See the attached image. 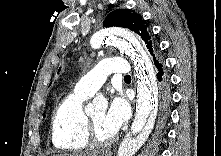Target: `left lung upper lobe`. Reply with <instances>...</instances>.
<instances>
[{
	"mask_svg": "<svg viewBox=\"0 0 221 156\" xmlns=\"http://www.w3.org/2000/svg\"><path fill=\"white\" fill-rule=\"evenodd\" d=\"M103 25L105 27L118 26L128 28L139 36L145 42L148 51L151 54L153 63L162 60L157 44L152 38L151 30L146 21L140 16L129 9H116L105 18Z\"/></svg>",
	"mask_w": 221,
	"mask_h": 156,
	"instance_id": "1",
	"label": "left lung upper lobe"
}]
</instances>
